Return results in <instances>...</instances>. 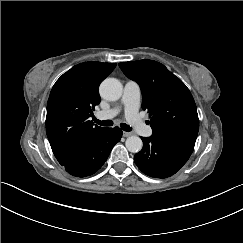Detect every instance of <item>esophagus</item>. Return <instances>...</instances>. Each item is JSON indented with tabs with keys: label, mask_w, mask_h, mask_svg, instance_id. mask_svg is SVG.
<instances>
[{
	"label": "esophagus",
	"mask_w": 243,
	"mask_h": 243,
	"mask_svg": "<svg viewBox=\"0 0 243 243\" xmlns=\"http://www.w3.org/2000/svg\"><path fill=\"white\" fill-rule=\"evenodd\" d=\"M132 135H133V133H131V132H123V137H129Z\"/></svg>",
	"instance_id": "1"
}]
</instances>
